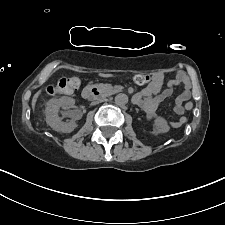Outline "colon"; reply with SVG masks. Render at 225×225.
<instances>
[{
	"label": "colon",
	"mask_w": 225,
	"mask_h": 225,
	"mask_svg": "<svg viewBox=\"0 0 225 225\" xmlns=\"http://www.w3.org/2000/svg\"><path fill=\"white\" fill-rule=\"evenodd\" d=\"M132 80L139 85L150 82L151 77L147 74H137L132 77ZM80 86V79L78 77L61 78L56 84L47 87L46 92L49 95L55 94H69ZM185 110H191L193 104L186 102L183 104ZM186 119H180V125L184 124ZM179 125V126H180Z\"/></svg>",
	"instance_id": "1"
}]
</instances>
